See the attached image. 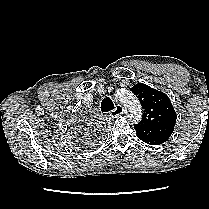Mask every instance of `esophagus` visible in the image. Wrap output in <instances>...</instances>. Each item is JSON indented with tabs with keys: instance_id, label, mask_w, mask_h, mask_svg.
Listing matches in <instances>:
<instances>
[{
	"instance_id": "esophagus-1",
	"label": "esophagus",
	"mask_w": 209,
	"mask_h": 209,
	"mask_svg": "<svg viewBox=\"0 0 209 209\" xmlns=\"http://www.w3.org/2000/svg\"><path fill=\"white\" fill-rule=\"evenodd\" d=\"M123 111H124L123 106L120 105V104H117L115 109L110 112V116L111 117L119 116V115H121L123 113Z\"/></svg>"
}]
</instances>
